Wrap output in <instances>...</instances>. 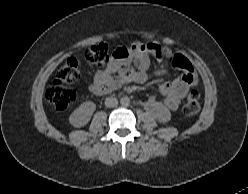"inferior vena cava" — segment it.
Here are the masks:
<instances>
[{
	"label": "inferior vena cava",
	"instance_id": "inferior-vena-cava-1",
	"mask_svg": "<svg viewBox=\"0 0 248 194\" xmlns=\"http://www.w3.org/2000/svg\"><path fill=\"white\" fill-rule=\"evenodd\" d=\"M117 104H118V100L114 97H108L105 99V106L106 107L112 108V107L117 106Z\"/></svg>",
	"mask_w": 248,
	"mask_h": 194
}]
</instances>
